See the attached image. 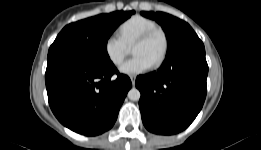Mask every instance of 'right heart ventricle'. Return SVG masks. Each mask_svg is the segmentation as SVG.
I'll list each match as a JSON object with an SVG mask.
<instances>
[{
  "instance_id": "1",
  "label": "right heart ventricle",
  "mask_w": 261,
  "mask_h": 150,
  "mask_svg": "<svg viewBox=\"0 0 261 150\" xmlns=\"http://www.w3.org/2000/svg\"><path fill=\"white\" fill-rule=\"evenodd\" d=\"M155 27H159L155 20L134 15L120 24L118 35L128 47H131L138 37Z\"/></svg>"
}]
</instances>
